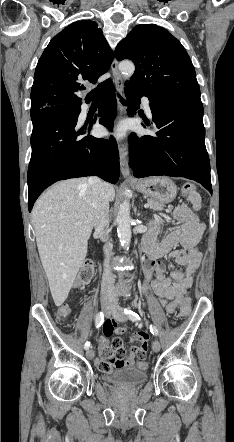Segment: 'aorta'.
Segmentation results:
<instances>
[{
  "instance_id": "aorta-1",
  "label": "aorta",
  "mask_w": 234,
  "mask_h": 442,
  "mask_svg": "<svg viewBox=\"0 0 234 442\" xmlns=\"http://www.w3.org/2000/svg\"><path fill=\"white\" fill-rule=\"evenodd\" d=\"M119 70L123 74L125 78H130L134 71L135 66L132 62L129 61H123L119 64ZM129 190H125V195H128ZM117 233L119 240L121 242V245L124 249L129 248L130 242H131V217H130V207H129V201L125 198V200L122 202L117 218Z\"/></svg>"
}]
</instances>
